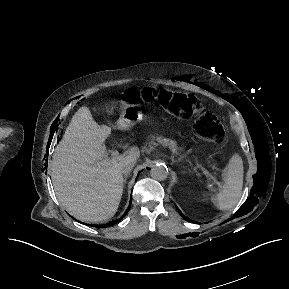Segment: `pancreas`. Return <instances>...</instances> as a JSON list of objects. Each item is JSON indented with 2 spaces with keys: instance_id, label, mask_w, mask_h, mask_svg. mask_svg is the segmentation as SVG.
<instances>
[{
  "instance_id": "pancreas-1",
  "label": "pancreas",
  "mask_w": 289,
  "mask_h": 289,
  "mask_svg": "<svg viewBox=\"0 0 289 289\" xmlns=\"http://www.w3.org/2000/svg\"><path fill=\"white\" fill-rule=\"evenodd\" d=\"M155 141H157V143H159L160 145L164 146V147H168L171 150H176L177 149V145L176 142L167 138H164L162 136H153L151 142L154 143Z\"/></svg>"
}]
</instances>
